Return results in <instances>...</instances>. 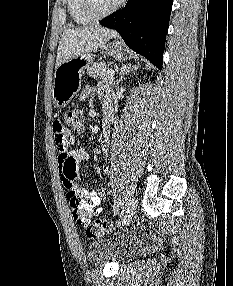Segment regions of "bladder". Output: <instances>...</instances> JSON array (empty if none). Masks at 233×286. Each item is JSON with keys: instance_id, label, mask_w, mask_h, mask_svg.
Returning <instances> with one entry per match:
<instances>
[{"instance_id": "31cf9c89", "label": "bladder", "mask_w": 233, "mask_h": 286, "mask_svg": "<svg viewBox=\"0 0 233 286\" xmlns=\"http://www.w3.org/2000/svg\"><path fill=\"white\" fill-rule=\"evenodd\" d=\"M135 238L126 235L118 238H100L92 241L87 248L89 261L94 265L106 262L122 263L135 250Z\"/></svg>"}]
</instances>
